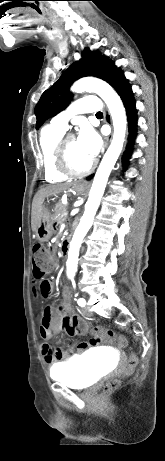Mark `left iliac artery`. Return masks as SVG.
<instances>
[{"mask_svg": "<svg viewBox=\"0 0 165 461\" xmlns=\"http://www.w3.org/2000/svg\"><path fill=\"white\" fill-rule=\"evenodd\" d=\"M85 304H86V301H85L83 298H80V299L78 300V305H79V306H85Z\"/></svg>", "mask_w": 165, "mask_h": 461, "instance_id": "1", "label": "left iliac artery"}]
</instances>
